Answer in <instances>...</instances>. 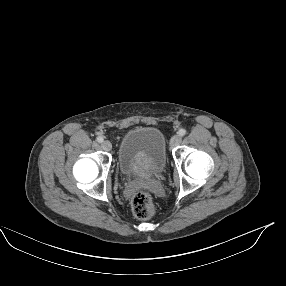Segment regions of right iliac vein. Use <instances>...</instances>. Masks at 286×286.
I'll return each mask as SVG.
<instances>
[{"label":"right iliac vein","instance_id":"63e3f726","mask_svg":"<svg viewBox=\"0 0 286 286\" xmlns=\"http://www.w3.org/2000/svg\"><path fill=\"white\" fill-rule=\"evenodd\" d=\"M101 146H102V148H103L104 150H106V151H109V150L112 149V144H111V142L108 141V140L103 141L102 144H101Z\"/></svg>","mask_w":286,"mask_h":286}]
</instances>
